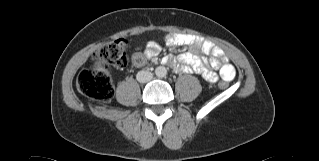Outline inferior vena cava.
<instances>
[{"label": "inferior vena cava", "mask_w": 319, "mask_h": 161, "mask_svg": "<svg viewBox=\"0 0 319 161\" xmlns=\"http://www.w3.org/2000/svg\"><path fill=\"white\" fill-rule=\"evenodd\" d=\"M153 78V74L149 71L141 70L137 73L136 79L140 83L149 82Z\"/></svg>", "instance_id": "602c4592"}]
</instances>
